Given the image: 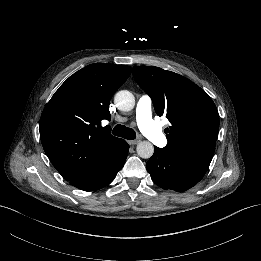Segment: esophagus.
<instances>
[{"label": "esophagus", "instance_id": "1", "mask_svg": "<svg viewBox=\"0 0 261 261\" xmlns=\"http://www.w3.org/2000/svg\"><path fill=\"white\" fill-rule=\"evenodd\" d=\"M130 145H136L137 143H139V140H128L127 141Z\"/></svg>", "mask_w": 261, "mask_h": 261}]
</instances>
